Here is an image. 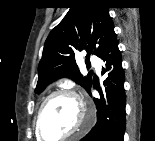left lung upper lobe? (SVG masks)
<instances>
[{"label":"left lung upper lobe","instance_id":"5c2ea615","mask_svg":"<svg viewBox=\"0 0 155 141\" xmlns=\"http://www.w3.org/2000/svg\"><path fill=\"white\" fill-rule=\"evenodd\" d=\"M63 20L48 35L38 66L35 92L59 77H69L87 92L92 85V72L82 77L75 61V53L86 49L87 58L102 54L114 32L113 22L104 0H73ZM118 104L113 101L112 109ZM117 108V107H116ZM115 108V109H116Z\"/></svg>","mask_w":155,"mask_h":141}]
</instances>
